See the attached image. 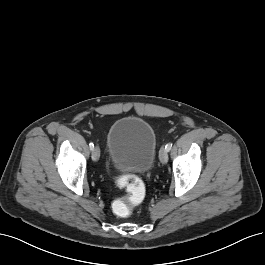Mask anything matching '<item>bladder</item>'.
Listing matches in <instances>:
<instances>
[{"mask_svg": "<svg viewBox=\"0 0 265 265\" xmlns=\"http://www.w3.org/2000/svg\"><path fill=\"white\" fill-rule=\"evenodd\" d=\"M108 154L120 171L145 173L151 169L156 154V135L143 118L117 119L107 134Z\"/></svg>", "mask_w": 265, "mask_h": 265, "instance_id": "1", "label": "bladder"}]
</instances>
